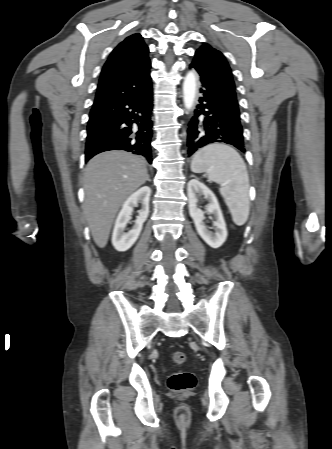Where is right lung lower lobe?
<instances>
[{
  "label": "right lung lower lobe",
  "instance_id": "98d812e1",
  "mask_svg": "<svg viewBox=\"0 0 332 449\" xmlns=\"http://www.w3.org/2000/svg\"><path fill=\"white\" fill-rule=\"evenodd\" d=\"M152 86L143 95L92 107L85 161L98 153L125 150L152 163Z\"/></svg>",
  "mask_w": 332,
  "mask_h": 449
}]
</instances>
